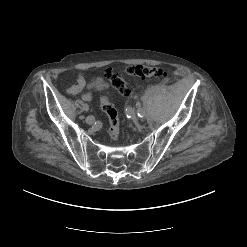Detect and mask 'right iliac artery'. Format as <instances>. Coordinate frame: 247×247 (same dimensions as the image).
Wrapping results in <instances>:
<instances>
[{"instance_id": "82829eb1", "label": "right iliac artery", "mask_w": 247, "mask_h": 247, "mask_svg": "<svg viewBox=\"0 0 247 247\" xmlns=\"http://www.w3.org/2000/svg\"><path fill=\"white\" fill-rule=\"evenodd\" d=\"M82 107H83V109H84V110H88V109H89V106H88V104H86V103H85V104H83V106H82Z\"/></svg>"}]
</instances>
